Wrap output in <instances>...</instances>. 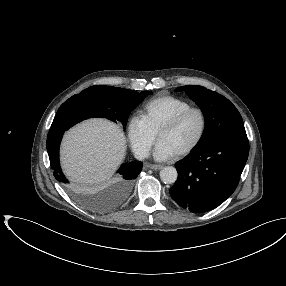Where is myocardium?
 Instances as JSON below:
<instances>
[{
  "label": "myocardium",
  "instance_id": "myocardium-1",
  "mask_svg": "<svg viewBox=\"0 0 286 286\" xmlns=\"http://www.w3.org/2000/svg\"><path fill=\"white\" fill-rule=\"evenodd\" d=\"M193 112L198 113L200 116V119H201L200 131H199L196 139L189 146H187L186 148H184L181 151H179L178 153H176L177 156H184V155H187V154L193 152L202 142V140L206 134V130H207V116H206L205 111L200 107L190 106V107L178 112L177 114L172 116L170 119H168L159 128V130L157 132V138L160 139V136L162 135V133L176 127L184 118H186L189 114H191Z\"/></svg>",
  "mask_w": 286,
  "mask_h": 286
}]
</instances>
